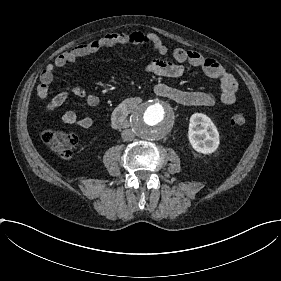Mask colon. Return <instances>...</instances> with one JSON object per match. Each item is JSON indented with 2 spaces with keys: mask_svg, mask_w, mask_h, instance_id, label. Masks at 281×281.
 <instances>
[{
  "mask_svg": "<svg viewBox=\"0 0 281 281\" xmlns=\"http://www.w3.org/2000/svg\"><path fill=\"white\" fill-rule=\"evenodd\" d=\"M246 115L241 111L233 112L230 122L235 127H242L246 124ZM44 143L55 153L62 157H71L78 145V137L66 130H48L42 137Z\"/></svg>",
  "mask_w": 281,
  "mask_h": 281,
  "instance_id": "obj_1",
  "label": "colon"
}]
</instances>
